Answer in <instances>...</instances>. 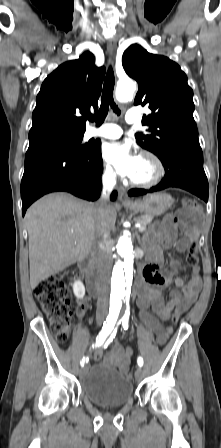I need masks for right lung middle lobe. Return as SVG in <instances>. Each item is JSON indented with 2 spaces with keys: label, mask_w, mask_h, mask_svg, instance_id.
I'll list each match as a JSON object with an SVG mask.
<instances>
[{
  "label": "right lung middle lobe",
  "mask_w": 221,
  "mask_h": 448,
  "mask_svg": "<svg viewBox=\"0 0 221 448\" xmlns=\"http://www.w3.org/2000/svg\"><path fill=\"white\" fill-rule=\"evenodd\" d=\"M83 134L75 135V136H68L64 138L57 139L55 141L49 142L47 144H44L42 146H48V145H64L69 146L74 149H76L79 152H88L90 151L93 146L89 144H82ZM41 147V146H40Z\"/></svg>",
  "instance_id": "1"
}]
</instances>
